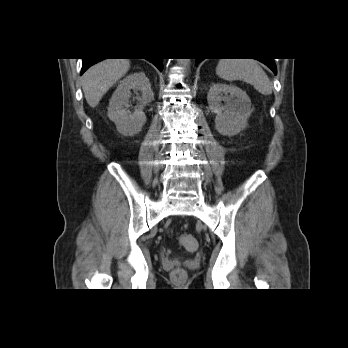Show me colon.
I'll list each match as a JSON object with an SVG mask.
<instances>
[{
  "label": "colon",
  "instance_id": "5ec220e1",
  "mask_svg": "<svg viewBox=\"0 0 348 348\" xmlns=\"http://www.w3.org/2000/svg\"><path fill=\"white\" fill-rule=\"evenodd\" d=\"M180 243H181L182 247L189 252H193L197 249L196 239L191 235H183L180 238ZM173 275L176 277H180L183 275V271L179 268H176L173 271Z\"/></svg>",
  "mask_w": 348,
  "mask_h": 348
}]
</instances>
